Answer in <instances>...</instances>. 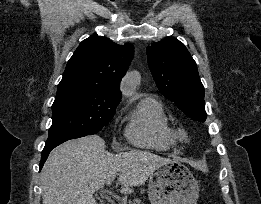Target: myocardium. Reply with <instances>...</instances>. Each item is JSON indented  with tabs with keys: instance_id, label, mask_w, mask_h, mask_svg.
Returning <instances> with one entry per match:
<instances>
[{
	"instance_id": "obj_1",
	"label": "myocardium",
	"mask_w": 261,
	"mask_h": 204,
	"mask_svg": "<svg viewBox=\"0 0 261 204\" xmlns=\"http://www.w3.org/2000/svg\"><path fill=\"white\" fill-rule=\"evenodd\" d=\"M176 135L182 139V140H186L187 139V133L185 130L183 129H179L177 132H176Z\"/></svg>"
}]
</instances>
